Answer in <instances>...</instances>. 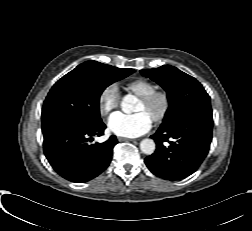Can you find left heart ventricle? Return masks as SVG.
Here are the masks:
<instances>
[{
    "instance_id": "b2bd125f",
    "label": "left heart ventricle",
    "mask_w": 252,
    "mask_h": 231,
    "mask_svg": "<svg viewBox=\"0 0 252 231\" xmlns=\"http://www.w3.org/2000/svg\"><path fill=\"white\" fill-rule=\"evenodd\" d=\"M158 109H159V103H156L151 107H147L143 102L139 101L135 108V112H144L152 119L153 116L158 111Z\"/></svg>"
}]
</instances>
